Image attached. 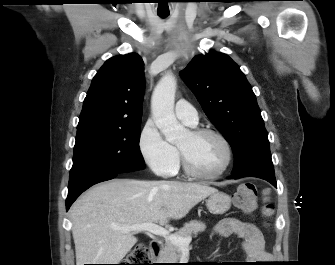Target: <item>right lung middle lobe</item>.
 <instances>
[{"mask_svg":"<svg viewBox=\"0 0 335 265\" xmlns=\"http://www.w3.org/2000/svg\"><path fill=\"white\" fill-rule=\"evenodd\" d=\"M141 121L121 127L77 130L69 183L95 171L131 172L145 168L139 148Z\"/></svg>","mask_w":335,"mask_h":265,"instance_id":"1","label":"right lung middle lobe"}]
</instances>
